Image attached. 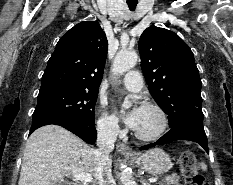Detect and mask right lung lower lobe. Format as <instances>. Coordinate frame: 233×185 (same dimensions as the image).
Returning <instances> with one entry per match:
<instances>
[{
    "label": "right lung lower lobe",
    "mask_w": 233,
    "mask_h": 185,
    "mask_svg": "<svg viewBox=\"0 0 233 185\" xmlns=\"http://www.w3.org/2000/svg\"><path fill=\"white\" fill-rule=\"evenodd\" d=\"M48 124H56L60 125L72 133L79 136L85 142L89 144H93L96 141V129L95 126H89L84 123H80L78 121L66 119V118H36L32 120V127L30 129V134L36 130L37 128L48 125Z\"/></svg>",
    "instance_id": "1"
}]
</instances>
